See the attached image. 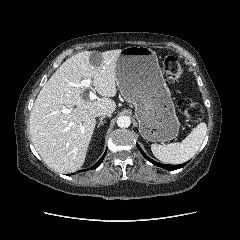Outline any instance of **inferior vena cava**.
<instances>
[{
	"instance_id": "1",
	"label": "inferior vena cava",
	"mask_w": 240,
	"mask_h": 240,
	"mask_svg": "<svg viewBox=\"0 0 240 240\" xmlns=\"http://www.w3.org/2000/svg\"><path fill=\"white\" fill-rule=\"evenodd\" d=\"M110 116L111 115V112H109V111H99V112H97L96 113V117H98V116Z\"/></svg>"
}]
</instances>
